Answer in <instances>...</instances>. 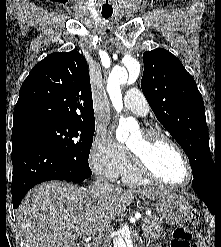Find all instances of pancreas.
Returning <instances> with one entry per match:
<instances>
[{
  "label": "pancreas",
  "instance_id": "cf45deb5",
  "mask_svg": "<svg viewBox=\"0 0 221 247\" xmlns=\"http://www.w3.org/2000/svg\"><path fill=\"white\" fill-rule=\"evenodd\" d=\"M142 230L147 240H156L163 233L162 221L155 216H148L144 219Z\"/></svg>",
  "mask_w": 221,
  "mask_h": 247
}]
</instances>
